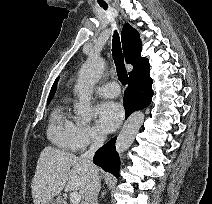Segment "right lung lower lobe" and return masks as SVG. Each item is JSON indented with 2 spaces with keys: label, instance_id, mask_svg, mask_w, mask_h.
Here are the masks:
<instances>
[{
  "label": "right lung lower lobe",
  "instance_id": "obj_1",
  "mask_svg": "<svg viewBox=\"0 0 212 204\" xmlns=\"http://www.w3.org/2000/svg\"><path fill=\"white\" fill-rule=\"evenodd\" d=\"M152 79L149 75V68L140 71L135 76L129 78L128 87L124 93L123 103L126 118L136 110L148 107L153 96ZM116 138L111 139L101 147L93 158V162L106 172H110L116 177L119 176L120 160L115 150Z\"/></svg>",
  "mask_w": 212,
  "mask_h": 204
}]
</instances>
